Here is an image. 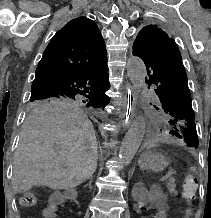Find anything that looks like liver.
Returning a JSON list of instances; mask_svg holds the SVG:
<instances>
[{
	"mask_svg": "<svg viewBox=\"0 0 211 218\" xmlns=\"http://www.w3.org/2000/svg\"><path fill=\"white\" fill-rule=\"evenodd\" d=\"M95 130L73 106H40L27 116L15 154V190L48 186L67 190L92 178L97 168Z\"/></svg>",
	"mask_w": 211,
	"mask_h": 218,
	"instance_id": "6515ba94",
	"label": "liver"
}]
</instances>
